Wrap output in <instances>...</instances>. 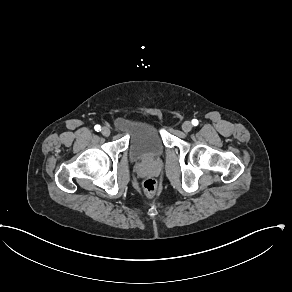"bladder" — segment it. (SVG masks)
<instances>
[{
    "label": "bladder",
    "instance_id": "obj_1",
    "mask_svg": "<svg viewBox=\"0 0 292 292\" xmlns=\"http://www.w3.org/2000/svg\"><path fill=\"white\" fill-rule=\"evenodd\" d=\"M115 128L128 135V154L131 160H146L164 153L165 145L160 125L144 117H120Z\"/></svg>",
    "mask_w": 292,
    "mask_h": 292
}]
</instances>
